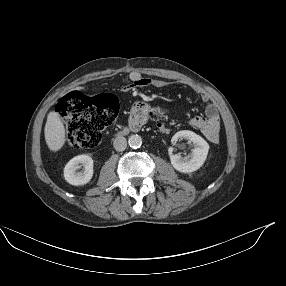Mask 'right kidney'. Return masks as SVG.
<instances>
[{
  "label": "right kidney",
  "mask_w": 286,
  "mask_h": 286,
  "mask_svg": "<svg viewBox=\"0 0 286 286\" xmlns=\"http://www.w3.org/2000/svg\"><path fill=\"white\" fill-rule=\"evenodd\" d=\"M80 166L83 172H76ZM65 180L75 186L87 184L93 177V159L89 155H79L72 158L64 168Z\"/></svg>",
  "instance_id": "1"
}]
</instances>
